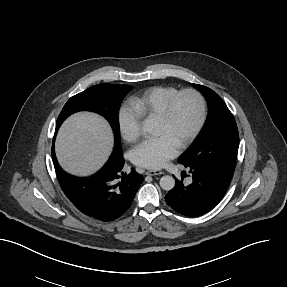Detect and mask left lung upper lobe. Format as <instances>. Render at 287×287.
I'll use <instances>...</instances> for the list:
<instances>
[{"label": "left lung upper lobe", "instance_id": "1", "mask_svg": "<svg viewBox=\"0 0 287 287\" xmlns=\"http://www.w3.org/2000/svg\"><path fill=\"white\" fill-rule=\"evenodd\" d=\"M205 96L209 114L200 135L178 162L185 167L205 165L234 173L239 147L236 122L221 97L208 87L191 84Z\"/></svg>", "mask_w": 287, "mask_h": 287}]
</instances>
